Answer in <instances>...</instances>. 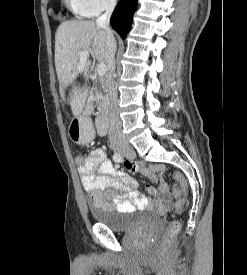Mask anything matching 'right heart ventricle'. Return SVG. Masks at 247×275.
Listing matches in <instances>:
<instances>
[{"label":"right heart ventricle","instance_id":"obj_1","mask_svg":"<svg viewBox=\"0 0 247 275\" xmlns=\"http://www.w3.org/2000/svg\"><path fill=\"white\" fill-rule=\"evenodd\" d=\"M66 8H68L74 15L78 17H89L82 7L80 0H63Z\"/></svg>","mask_w":247,"mask_h":275}]
</instances>
